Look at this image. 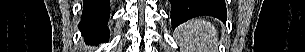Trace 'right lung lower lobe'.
<instances>
[{"instance_id": "1", "label": "right lung lower lobe", "mask_w": 305, "mask_h": 52, "mask_svg": "<svg viewBox=\"0 0 305 52\" xmlns=\"http://www.w3.org/2000/svg\"><path fill=\"white\" fill-rule=\"evenodd\" d=\"M109 15V0H84V9L79 28L88 44L108 41L109 30L106 24Z\"/></svg>"}]
</instances>
